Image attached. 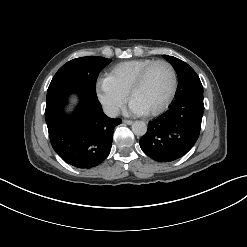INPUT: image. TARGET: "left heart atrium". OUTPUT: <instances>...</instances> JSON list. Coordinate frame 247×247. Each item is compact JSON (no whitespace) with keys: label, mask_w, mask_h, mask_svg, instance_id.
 I'll list each match as a JSON object with an SVG mask.
<instances>
[{"label":"left heart atrium","mask_w":247,"mask_h":247,"mask_svg":"<svg viewBox=\"0 0 247 247\" xmlns=\"http://www.w3.org/2000/svg\"><path fill=\"white\" fill-rule=\"evenodd\" d=\"M127 112L134 115H143L146 113L144 108L140 106L135 100L130 101Z\"/></svg>","instance_id":"obj_1"}]
</instances>
